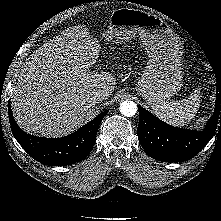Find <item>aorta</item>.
Returning a JSON list of instances; mask_svg holds the SVG:
<instances>
[{
  "label": "aorta",
  "instance_id": "1",
  "mask_svg": "<svg viewBox=\"0 0 221 221\" xmlns=\"http://www.w3.org/2000/svg\"><path fill=\"white\" fill-rule=\"evenodd\" d=\"M120 112L126 117H132L137 112V105L133 101H124L120 104Z\"/></svg>",
  "mask_w": 221,
  "mask_h": 221
}]
</instances>
